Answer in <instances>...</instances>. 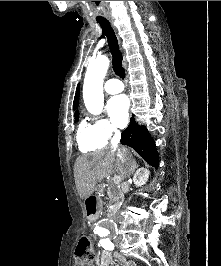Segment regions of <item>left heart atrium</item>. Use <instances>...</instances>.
I'll use <instances>...</instances> for the list:
<instances>
[{"mask_svg": "<svg viewBox=\"0 0 221 266\" xmlns=\"http://www.w3.org/2000/svg\"><path fill=\"white\" fill-rule=\"evenodd\" d=\"M112 122L118 127H124L128 121L129 102L125 95L112 97L107 104Z\"/></svg>", "mask_w": 221, "mask_h": 266, "instance_id": "39dd6f15", "label": "left heart atrium"}]
</instances>
